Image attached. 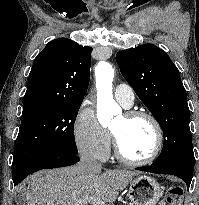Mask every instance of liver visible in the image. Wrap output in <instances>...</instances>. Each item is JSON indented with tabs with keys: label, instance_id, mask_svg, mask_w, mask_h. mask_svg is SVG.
<instances>
[{
	"label": "liver",
	"instance_id": "obj_1",
	"mask_svg": "<svg viewBox=\"0 0 199 205\" xmlns=\"http://www.w3.org/2000/svg\"><path fill=\"white\" fill-rule=\"evenodd\" d=\"M138 174L132 170L83 172L79 165L42 170L27 180L26 205H86L92 199L114 202Z\"/></svg>",
	"mask_w": 199,
	"mask_h": 205
}]
</instances>
